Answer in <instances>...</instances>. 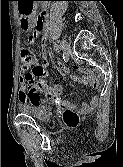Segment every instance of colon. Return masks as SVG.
<instances>
[{
	"mask_svg": "<svg viewBox=\"0 0 123 167\" xmlns=\"http://www.w3.org/2000/svg\"><path fill=\"white\" fill-rule=\"evenodd\" d=\"M44 21V15H41L37 21V25L41 26ZM22 67L24 69L33 68L35 69L38 66V60L35 53L29 48H23L20 53ZM64 121L70 126L74 127L78 122V117L75 113L67 111L64 113Z\"/></svg>",
	"mask_w": 123,
	"mask_h": 167,
	"instance_id": "obj_1",
	"label": "colon"
}]
</instances>
